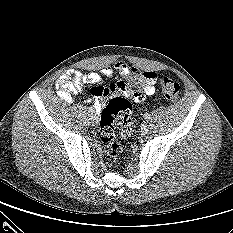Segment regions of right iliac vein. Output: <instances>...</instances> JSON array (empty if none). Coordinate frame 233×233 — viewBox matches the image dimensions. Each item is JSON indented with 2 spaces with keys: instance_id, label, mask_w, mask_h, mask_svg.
Segmentation results:
<instances>
[{
  "instance_id": "1",
  "label": "right iliac vein",
  "mask_w": 233,
  "mask_h": 233,
  "mask_svg": "<svg viewBox=\"0 0 233 233\" xmlns=\"http://www.w3.org/2000/svg\"><path fill=\"white\" fill-rule=\"evenodd\" d=\"M91 123L93 125H96L98 123V118L96 115L91 116Z\"/></svg>"
}]
</instances>
